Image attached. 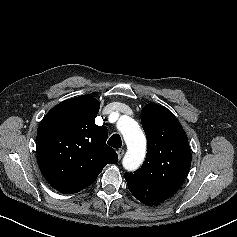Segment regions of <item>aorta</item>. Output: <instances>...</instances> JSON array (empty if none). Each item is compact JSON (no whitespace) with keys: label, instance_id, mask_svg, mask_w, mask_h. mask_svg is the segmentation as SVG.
<instances>
[{"label":"aorta","instance_id":"1","mask_svg":"<svg viewBox=\"0 0 237 237\" xmlns=\"http://www.w3.org/2000/svg\"><path fill=\"white\" fill-rule=\"evenodd\" d=\"M118 129L127 145L123 158V166L127 170L137 169L146 154V138L138 123L129 116H122L118 121Z\"/></svg>","mask_w":237,"mask_h":237}]
</instances>
